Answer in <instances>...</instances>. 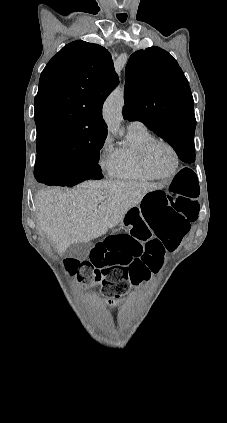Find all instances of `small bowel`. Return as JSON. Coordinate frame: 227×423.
Listing matches in <instances>:
<instances>
[{
	"mask_svg": "<svg viewBox=\"0 0 227 423\" xmlns=\"http://www.w3.org/2000/svg\"><path fill=\"white\" fill-rule=\"evenodd\" d=\"M136 221L144 224L148 228V230L150 231V229L147 225V222L145 221V219L143 217H139ZM103 300L108 306H116V305H119L122 302V299H120V298L119 299H103Z\"/></svg>",
	"mask_w": 227,
	"mask_h": 423,
	"instance_id": "1",
	"label": "small bowel"
}]
</instances>
